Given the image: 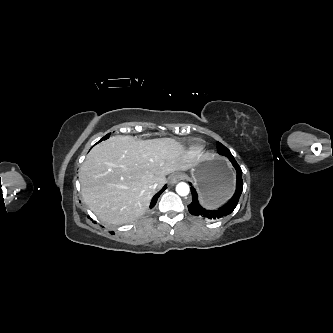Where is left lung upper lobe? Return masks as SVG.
I'll return each instance as SVG.
<instances>
[{
  "instance_id": "left-lung-upper-lobe-1",
  "label": "left lung upper lobe",
  "mask_w": 333,
  "mask_h": 333,
  "mask_svg": "<svg viewBox=\"0 0 333 333\" xmlns=\"http://www.w3.org/2000/svg\"><path fill=\"white\" fill-rule=\"evenodd\" d=\"M217 149H218V153H219V154L228 157L229 160H235L234 157L232 156L231 152L229 151V149L226 148V147H225L223 144H221L220 142H218Z\"/></svg>"
}]
</instances>
